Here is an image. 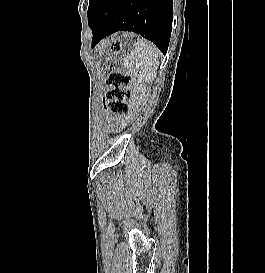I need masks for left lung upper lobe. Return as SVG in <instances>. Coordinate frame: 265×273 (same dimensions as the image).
Listing matches in <instances>:
<instances>
[{"mask_svg":"<svg viewBox=\"0 0 265 273\" xmlns=\"http://www.w3.org/2000/svg\"><path fill=\"white\" fill-rule=\"evenodd\" d=\"M104 15L101 13L94 14V12L88 8V23L96 20V23H101L103 21Z\"/></svg>","mask_w":265,"mask_h":273,"instance_id":"left-lung-upper-lobe-1","label":"left lung upper lobe"}]
</instances>
